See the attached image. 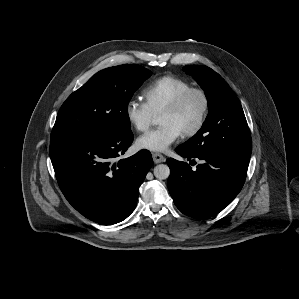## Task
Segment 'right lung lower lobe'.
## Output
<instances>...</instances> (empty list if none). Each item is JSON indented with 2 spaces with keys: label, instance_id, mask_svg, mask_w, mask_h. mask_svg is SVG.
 <instances>
[{
  "label": "right lung lower lobe",
  "instance_id": "1",
  "mask_svg": "<svg viewBox=\"0 0 299 299\" xmlns=\"http://www.w3.org/2000/svg\"><path fill=\"white\" fill-rule=\"evenodd\" d=\"M133 139L131 131L97 136L51 134L50 158L59 187L68 202L90 220L112 225L135 209L139 187L153 160L145 149L118 159Z\"/></svg>",
  "mask_w": 299,
  "mask_h": 299
}]
</instances>
